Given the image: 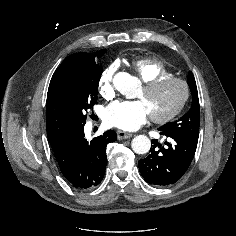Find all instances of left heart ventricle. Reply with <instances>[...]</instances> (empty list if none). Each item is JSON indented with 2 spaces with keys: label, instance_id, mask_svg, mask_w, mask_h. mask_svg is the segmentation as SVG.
I'll list each match as a JSON object with an SVG mask.
<instances>
[{
  "label": "left heart ventricle",
  "instance_id": "b2bd125f",
  "mask_svg": "<svg viewBox=\"0 0 236 236\" xmlns=\"http://www.w3.org/2000/svg\"><path fill=\"white\" fill-rule=\"evenodd\" d=\"M182 94L179 84L170 83L149 94L142 89L138 98L144 102L150 115L160 116L169 112L179 102Z\"/></svg>",
  "mask_w": 236,
  "mask_h": 236
}]
</instances>
